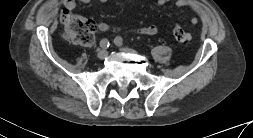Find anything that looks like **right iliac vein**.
<instances>
[{
    "label": "right iliac vein",
    "instance_id": "right-iliac-vein-1",
    "mask_svg": "<svg viewBox=\"0 0 253 138\" xmlns=\"http://www.w3.org/2000/svg\"><path fill=\"white\" fill-rule=\"evenodd\" d=\"M108 56V51L107 50H101L99 51L97 57L100 60H104Z\"/></svg>",
    "mask_w": 253,
    "mask_h": 138
}]
</instances>
